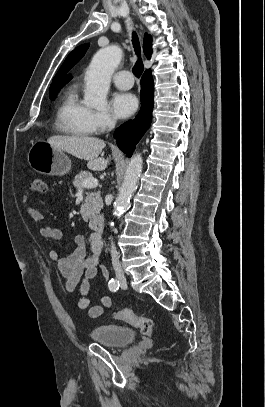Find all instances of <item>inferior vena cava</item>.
<instances>
[{"label":"inferior vena cava","instance_id":"602c4592","mask_svg":"<svg viewBox=\"0 0 265 407\" xmlns=\"http://www.w3.org/2000/svg\"><path fill=\"white\" fill-rule=\"evenodd\" d=\"M106 124H107L109 130L113 129L115 126V119H113L111 117H107ZM111 260H112V265H113L116 277L124 278V273H123V270H122L120 262H119L118 252H117L116 247L113 242H111Z\"/></svg>","mask_w":265,"mask_h":407}]
</instances>
